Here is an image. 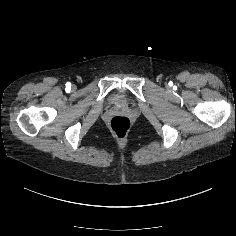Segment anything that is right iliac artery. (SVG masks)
I'll return each mask as SVG.
<instances>
[{"label":"right iliac artery","mask_w":236,"mask_h":236,"mask_svg":"<svg viewBox=\"0 0 236 236\" xmlns=\"http://www.w3.org/2000/svg\"><path fill=\"white\" fill-rule=\"evenodd\" d=\"M70 87H71V83H70V82H67V83H66V89L68 90V89H70Z\"/></svg>","instance_id":"obj_1"}]
</instances>
